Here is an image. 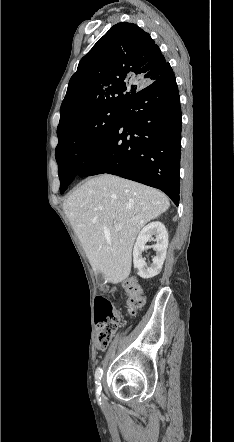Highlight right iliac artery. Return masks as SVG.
I'll return each instance as SVG.
<instances>
[{
  "instance_id": "right-iliac-artery-1",
  "label": "right iliac artery",
  "mask_w": 234,
  "mask_h": 442,
  "mask_svg": "<svg viewBox=\"0 0 234 442\" xmlns=\"http://www.w3.org/2000/svg\"><path fill=\"white\" fill-rule=\"evenodd\" d=\"M101 377H102V368L98 367L95 372V380H96L95 383H96V394L99 401H100L99 396L101 394Z\"/></svg>"
}]
</instances>
